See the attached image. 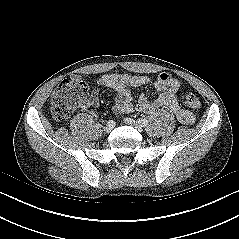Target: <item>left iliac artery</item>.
I'll list each match as a JSON object with an SVG mask.
<instances>
[{
	"mask_svg": "<svg viewBox=\"0 0 239 239\" xmlns=\"http://www.w3.org/2000/svg\"><path fill=\"white\" fill-rule=\"evenodd\" d=\"M138 123H139L141 126H147V125H148V121H147V119H145V118H139V119H138Z\"/></svg>",
	"mask_w": 239,
	"mask_h": 239,
	"instance_id": "left-iliac-artery-1",
	"label": "left iliac artery"
}]
</instances>
